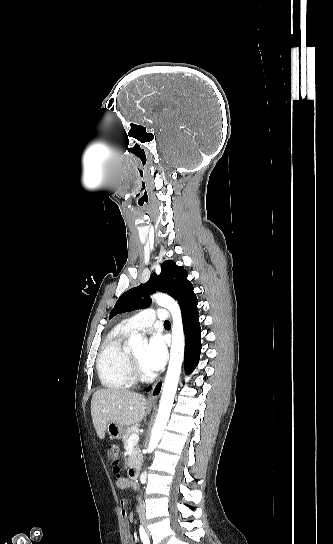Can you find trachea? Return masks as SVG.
Masks as SVG:
<instances>
[{
	"instance_id": "1",
	"label": "trachea",
	"mask_w": 333,
	"mask_h": 544,
	"mask_svg": "<svg viewBox=\"0 0 333 544\" xmlns=\"http://www.w3.org/2000/svg\"><path fill=\"white\" fill-rule=\"evenodd\" d=\"M164 325H168V326H169V325H170V321L166 320V321L164 322Z\"/></svg>"
}]
</instances>
